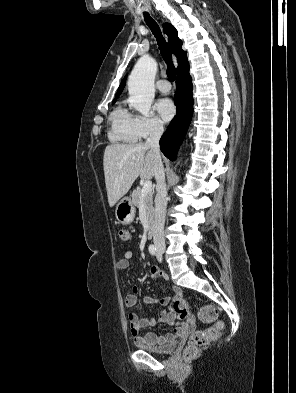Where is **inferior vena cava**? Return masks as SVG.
Wrapping results in <instances>:
<instances>
[{
	"label": "inferior vena cava",
	"instance_id": "1",
	"mask_svg": "<svg viewBox=\"0 0 296 393\" xmlns=\"http://www.w3.org/2000/svg\"><path fill=\"white\" fill-rule=\"evenodd\" d=\"M164 128L160 122H154L151 126L149 137L146 140V146L150 147L155 154L154 176L157 182L155 197V220L153 241L157 247H165L164 224L167 207V187L165 182V172L160 156L159 140L163 134Z\"/></svg>",
	"mask_w": 296,
	"mask_h": 393
}]
</instances>
